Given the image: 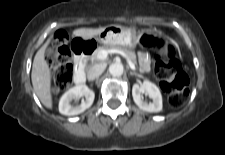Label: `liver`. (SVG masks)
<instances>
[{
  "label": "liver",
  "mask_w": 225,
  "mask_h": 155,
  "mask_svg": "<svg viewBox=\"0 0 225 155\" xmlns=\"http://www.w3.org/2000/svg\"><path fill=\"white\" fill-rule=\"evenodd\" d=\"M106 27L101 28H80L73 31V35L76 37L90 38L99 35ZM52 37H50L46 43L37 51L31 72L32 85L36 95L41 103L49 108H53L52 94H51V70L48 63L45 60V50Z\"/></svg>",
  "instance_id": "1"
}]
</instances>
